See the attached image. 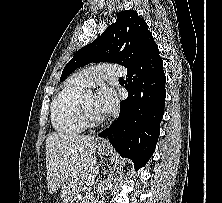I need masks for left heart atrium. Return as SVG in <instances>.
Listing matches in <instances>:
<instances>
[{
	"mask_svg": "<svg viewBox=\"0 0 222 203\" xmlns=\"http://www.w3.org/2000/svg\"><path fill=\"white\" fill-rule=\"evenodd\" d=\"M117 105L114 92L109 88H102L95 96V106L101 115L111 114Z\"/></svg>",
	"mask_w": 222,
	"mask_h": 203,
	"instance_id": "left-heart-atrium-1",
	"label": "left heart atrium"
}]
</instances>
